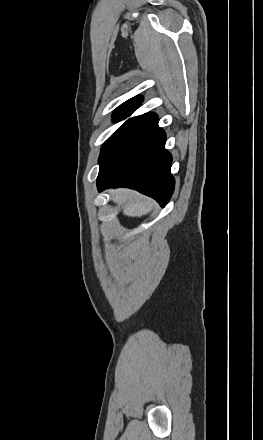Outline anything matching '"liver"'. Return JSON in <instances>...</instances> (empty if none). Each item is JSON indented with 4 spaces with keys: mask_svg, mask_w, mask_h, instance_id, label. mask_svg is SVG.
Segmentation results:
<instances>
[{
    "mask_svg": "<svg viewBox=\"0 0 263 440\" xmlns=\"http://www.w3.org/2000/svg\"><path fill=\"white\" fill-rule=\"evenodd\" d=\"M112 200L122 205L123 214L131 217H141L152 210V202L127 189H118L112 193Z\"/></svg>",
    "mask_w": 263,
    "mask_h": 440,
    "instance_id": "6515ba94",
    "label": "liver"
}]
</instances>
